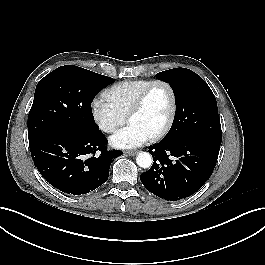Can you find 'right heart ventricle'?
Returning <instances> with one entry per match:
<instances>
[{
    "label": "right heart ventricle",
    "instance_id": "1",
    "mask_svg": "<svg viewBox=\"0 0 265 265\" xmlns=\"http://www.w3.org/2000/svg\"><path fill=\"white\" fill-rule=\"evenodd\" d=\"M151 81L150 79H138L116 83L104 92V97L122 115L127 116L140 92Z\"/></svg>",
    "mask_w": 265,
    "mask_h": 265
}]
</instances>
